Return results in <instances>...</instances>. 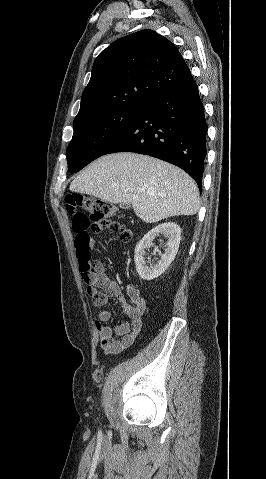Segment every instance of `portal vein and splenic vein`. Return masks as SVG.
<instances>
[{
    "label": "portal vein and splenic vein",
    "instance_id": "18ae733b",
    "mask_svg": "<svg viewBox=\"0 0 266 479\" xmlns=\"http://www.w3.org/2000/svg\"><path fill=\"white\" fill-rule=\"evenodd\" d=\"M133 198L137 199V198H138V196H137V195H133Z\"/></svg>",
    "mask_w": 266,
    "mask_h": 479
}]
</instances>
